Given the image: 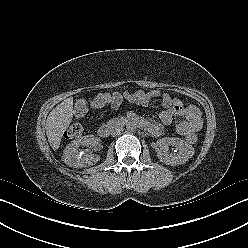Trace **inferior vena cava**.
<instances>
[{
	"label": "inferior vena cava",
	"instance_id": "1",
	"mask_svg": "<svg viewBox=\"0 0 248 248\" xmlns=\"http://www.w3.org/2000/svg\"><path fill=\"white\" fill-rule=\"evenodd\" d=\"M122 131H123V127H122V126H115V127L111 130V135H112V136L120 135Z\"/></svg>",
	"mask_w": 248,
	"mask_h": 248
}]
</instances>
